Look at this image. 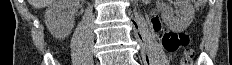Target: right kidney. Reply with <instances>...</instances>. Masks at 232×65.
Wrapping results in <instances>:
<instances>
[{
	"mask_svg": "<svg viewBox=\"0 0 232 65\" xmlns=\"http://www.w3.org/2000/svg\"><path fill=\"white\" fill-rule=\"evenodd\" d=\"M78 0H55L45 12V24L57 39L66 38L74 27V16Z\"/></svg>",
	"mask_w": 232,
	"mask_h": 65,
	"instance_id": "right-kidney-1",
	"label": "right kidney"
}]
</instances>
